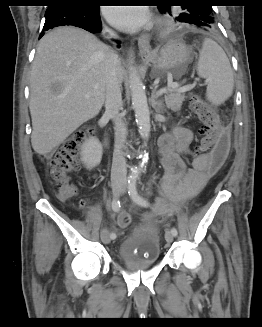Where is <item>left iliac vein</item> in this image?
<instances>
[{
  "instance_id": "4c4485c4",
  "label": "left iliac vein",
  "mask_w": 262,
  "mask_h": 327,
  "mask_svg": "<svg viewBox=\"0 0 262 327\" xmlns=\"http://www.w3.org/2000/svg\"><path fill=\"white\" fill-rule=\"evenodd\" d=\"M121 192L122 193H125L126 192V185H124L121 189ZM165 240L167 243H172L173 240H174V235L171 233V231H166L165 233Z\"/></svg>"
}]
</instances>
